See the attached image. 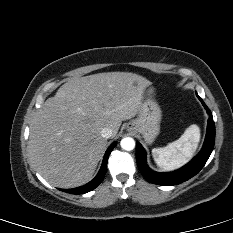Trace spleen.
<instances>
[{"instance_id":"obj_1","label":"spleen","mask_w":233,"mask_h":233,"mask_svg":"<svg viewBox=\"0 0 233 233\" xmlns=\"http://www.w3.org/2000/svg\"><path fill=\"white\" fill-rule=\"evenodd\" d=\"M200 140V129L190 125L181 137L165 147L154 148L152 156L157 166L164 170L181 167L193 156Z\"/></svg>"}]
</instances>
